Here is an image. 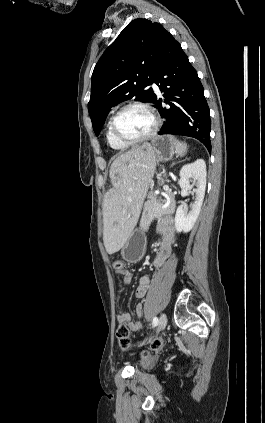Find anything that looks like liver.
I'll use <instances>...</instances> for the list:
<instances>
[{
    "label": "liver",
    "instance_id": "liver-1",
    "mask_svg": "<svg viewBox=\"0 0 265 423\" xmlns=\"http://www.w3.org/2000/svg\"><path fill=\"white\" fill-rule=\"evenodd\" d=\"M151 144L120 154L111 164L110 189L103 202V242L108 254L125 245L138 222L144 199L156 169Z\"/></svg>",
    "mask_w": 265,
    "mask_h": 423
}]
</instances>
